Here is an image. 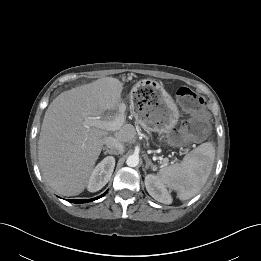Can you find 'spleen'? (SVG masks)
<instances>
[{
  "instance_id": "1",
  "label": "spleen",
  "mask_w": 261,
  "mask_h": 261,
  "mask_svg": "<svg viewBox=\"0 0 261 261\" xmlns=\"http://www.w3.org/2000/svg\"><path fill=\"white\" fill-rule=\"evenodd\" d=\"M215 159L212 142H205L186 154L183 160L159 170V180L177 192L180 200H188L199 193L206 183Z\"/></svg>"
}]
</instances>
